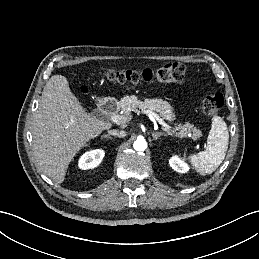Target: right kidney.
Masks as SVG:
<instances>
[{"label":"right kidney","instance_id":"obj_1","mask_svg":"<svg viewBox=\"0 0 259 259\" xmlns=\"http://www.w3.org/2000/svg\"><path fill=\"white\" fill-rule=\"evenodd\" d=\"M104 155L102 149L85 152L78 161V167L82 170L93 169L101 163Z\"/></svg>","mask_w":259,"mask_h":259}]
</instances>
